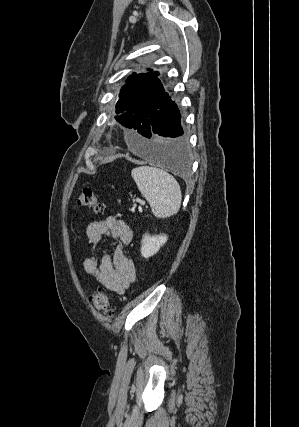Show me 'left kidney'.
Masks as SVG:
<instances>
[{"label": "left kidney", "mask_w": 299, "mask_h": 427, "mask_svg": "<svg viewBox=\"0 0 299 427\" xmlns=\"http://www.w3.org/2000/svg\"><path fill=\"white\" fill-rule=\"evenodd\" d=\"M168 237L166 235L150 236L145 234L141 241V254L144 258H149L155 255L161 246L167 242Z\"/></svg>", "instance_id": "obj_1"}]
</instances>
